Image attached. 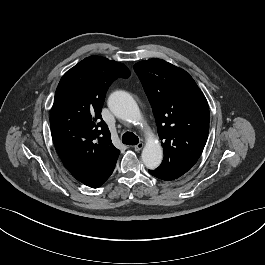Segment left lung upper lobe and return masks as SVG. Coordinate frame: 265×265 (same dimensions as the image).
Instances as JSON below:
<instances>
[{"instance_id": "5c2ea615", "label": "left lung upper lobe", "mask_w": 265, "mask_h": 265, "mask_svg": "<svg viewBox=\"0 0 265 265\" xmlns=\"http://www.w3.org/2000/svg\"><path fill=\"white\" fill-rule=\"evenodd\" d=\"M139 76L163 141L164 159L155 169L167 180L186 173L199 159L209 132L207 100L193 78L164 60L138 62Z\"/></svg>"}]
</instances>
